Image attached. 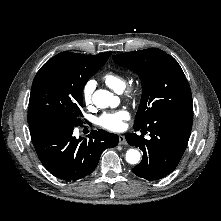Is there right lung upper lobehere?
Instances as JSON below:
<instances>
[{
  "label": "right lung upper lobe",
  "instance_id": "1",
  "mask_svg": "<svg viewBox=\"0 0 221 221\" xmlns=\"http://www.w3.org/2000/svg\"><path fill=\"white\" fill-rule=\"evenodd\" d=\"M110 55H111V52H106V53H103L101 55H95V56H90L89 55V58L97 64H103L104 65Z\"/></svg>",
  "mask_w": 221,
  "mask_h": 221
}]
</instances>
